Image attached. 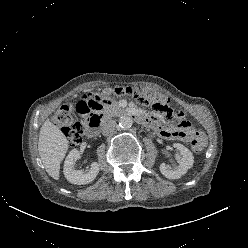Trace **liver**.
Here are the masks:
<instances>
[{
  "mask_svg": "<svg viewBox=\"0 0 248 248\" xmlns=\"http://www.w3.org/2000/svg\"><path fill=\"white\" fill-rule=\"evenodd\" d=\"M69 147V141L63 132L45 121L40 129L38 150L47 173L55 180L59 179L60 164Z\"/></svg>",
  "mask_w": 248,
  "mask_h": 248,
  "instance_id": "liver-1",
  "label": "liver"
}]
</instances>
